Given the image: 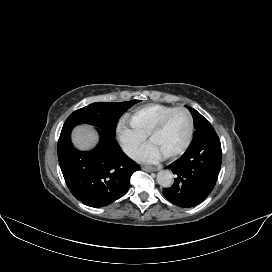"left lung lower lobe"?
I'll use <instances>...</instances> for the list:
<instances>
[{
  "label": "left lung lower lobe",
  "instance_id": "left-lung-lower-lobe-1",
  "mask_svg": "<svg viewBox=\"0 0 272 272\" xmlns=\"http://www.w3.org/2000/svg\"><path fill=\"white\" fill-rule=\"evenodd\" d=\"M222 151L217 135L188 147L168 168L176 175L163 190L171 203L189 208L201 203L214 188L221 167Z\"/></svg>",
  "mask_w": 272,
  "mask_h": 272
}]
</instances>
